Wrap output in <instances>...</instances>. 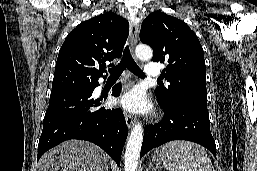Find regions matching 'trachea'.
<instances>
[{"mask_svg":"<svg viewBox=\"0 0 257 171\" xmlns=\"http://www.w3.org/2000/svg\"><path fill=\"white\" fill-rule=\"evenodd\" d=\"M126 68H128L136 76L140 78H145V74L131 57L128 46L125 47L123 57L120 63L117 66L109 69L110 77H120V75ZM158 81H160V79H158Z\"/></svg>","mask_w":257,"mask_h":171,"instance_id":"3493384b","label":"trachea"}]
</instances>
